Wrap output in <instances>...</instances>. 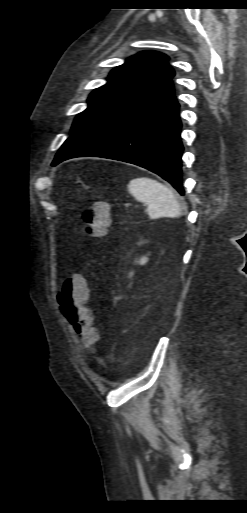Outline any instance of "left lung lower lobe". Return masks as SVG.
<instances>
[{
  "mask_svg": "<svg viewBox=\"0 0 247 513\" xmlns=\"http://www.w3.org/2000/svg\"><path fill=\"white\" fill-rule=\"evenodd\" d=\"M181 126L179 104L169 80L77 130L64 142L52 165L82 156L120 160L160 175L184 195Z\"/></svg>",
  "mask_w": 247,
  "mask_h": 513,
  "instance_id": "left-lung-lower-lobe-1",
  "label": "left lung lower lobe"
}]
</instances>
